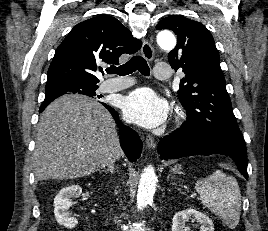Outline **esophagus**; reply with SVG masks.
Here are the masks:
<instances>
[{"label": "esophagus", "instance_id": "esophagus-1", "mask_svg": "<svg viewBox=\"0 0 268 231\" xmlns=\"http://www.w3.org/2000/svg\"><path fill=\"white\" fill-rule=\"evenodd\" d=\"M141 55L148 61H151L153 59L154 49L150 41L146 40L142 44ZM146 146L148 149H152L156 146L154 138L150 135L146 137Z\"/></svg>", "mask_w": 268, "mask_h": 231}]
</instances>
